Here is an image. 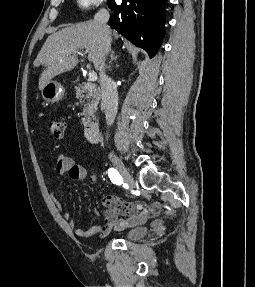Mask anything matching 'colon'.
<instances>
[{
	"label": "colon",
	"mask_w": 255,
	"mask_h": 287,
	"mask_svg": "<svg viewBox=\"0 0 255 287\" xmlns=\"http://www.w3.org/2000/svg\"><path fill=\"white\" fill-rule=\"evenodd\" d=\"M48 128L55 138H61L64 134V123L58 120H51L48 123Z\"/></svg>",
	"instance_id": "obj_1"
}]
</instances>
